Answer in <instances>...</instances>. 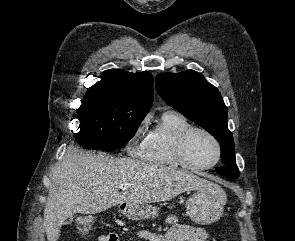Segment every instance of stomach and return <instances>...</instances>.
Here are the masks:
<instances>
[{
    "mask_svg": "<svg viewBox=\"0 0 295 241\" xmlns=\"http://www.w3.org/2000/svg\"><path fill=\"white\" fill-rule=\"evenodd\" d=\"M227 202L225 191L216 183L209 182L194 190L186 202V215L196 224L207 225L216 222L223 214ZM119 210L128 219L145 220L158 215V209L151 205H119Z\"/></svg>",
    "mask_w": 295,
    "mask_h": 241,
    "instance_id": "stomach-1",
    "label": "stomach"
}]
</instances>
